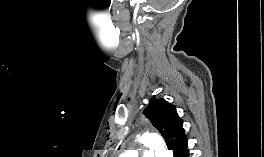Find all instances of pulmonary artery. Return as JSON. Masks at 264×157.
<instances>
[{"label":"pulmonary artery","instance_id":"obj_1","mask_svg":"<svg viewBox=\"0 0 264 157\" xmlns=\"http://www.w3.org/2000/svg\"><path fill=\"white\" fill-rule=\"evenodd\" d=\"M142 157H154V155H153V152L152 151H150V150H145L144 152H143V156Z\"/></svg>","mask_w":264,"mask_h":157}]
</instances>
